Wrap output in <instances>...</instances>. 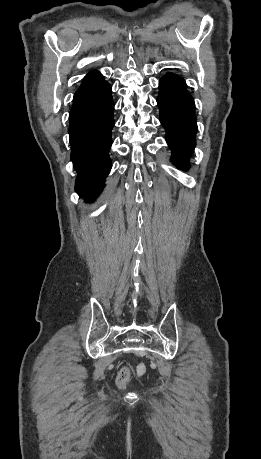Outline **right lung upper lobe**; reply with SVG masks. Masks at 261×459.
<instances>
[{"label":"right lung upper lobe","mask_w":261,"mask_h":459,"mask_svg":"<svg viewBox=\"0 0 261 459\" xmlns=\"http://www.w3.org/2000/svg\"><path fill=\"white\" fill-rule=\"evenodd\" d=\"M105 82L106 81H104L103 76L98 71H91L83 79L81 86L76 91L74 95V101L91 92L92 90L98 88Z\"/></svg>","instance_id":"obj_1"}]
</instances>
